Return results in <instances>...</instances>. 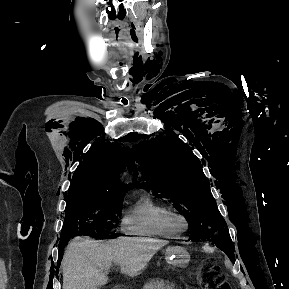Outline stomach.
<instances>
[{
  "label": "stomach",
  "mask_w": 289,
  "mask_h": 289,
  "mask_svg": "<svg viewBox=\"0 0 289 289\" xmlns=\"http://www.w3.org/2000/svg\"><path fill=\"white\" fill-rule=\"evenodd\" d=\"M165 260L171 265L184 268L190 261V255L184 247L172 246L166 249Z\"/></svg>",
  "instance_id": "1"
}]
</instances>
